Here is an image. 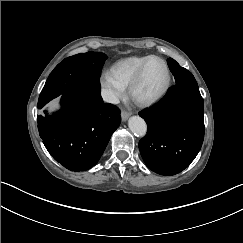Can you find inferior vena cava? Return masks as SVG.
<instances>
[{"label": "inferior vena cava", "mask_w": 243, "mask_h": 243, "mask_svg": "<svg viewBox=\"0 0 243 243\" xmlns=\"http://www.w3.org/2000/svg\"><path fill=\"white\" fill-rule=\"evenodd\" d=\"M101 96L103 100L107 103L111 104H119L120 100L119 98L110 90L103 89L101 91Z\"/></svg>", "instance_id": "602c4592"}]
</instances>
